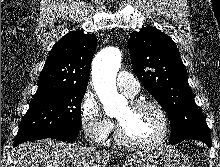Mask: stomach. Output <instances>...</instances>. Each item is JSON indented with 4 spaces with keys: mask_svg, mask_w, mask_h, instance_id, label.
Segmentation results:
<instances>
[{
    "mask_svg": "<svg viewBox=\"0 0 220 167\" xmlns=\"http://www.w3.org/2000/svg\"><path fill=\"white\" fill-rule=\"evenodd\" d=\"M123 167H191V163L188 157L178 150L157 147L137 151Z\"/></svg>",
    "mask_w": 220,
    "mask_h": 167,
    "instance_id": "obj_1",
    "label": "stomach"
}]
</instances>
